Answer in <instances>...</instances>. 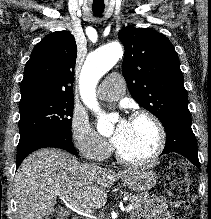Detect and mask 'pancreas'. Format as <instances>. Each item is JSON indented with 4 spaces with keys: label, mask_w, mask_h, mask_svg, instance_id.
Here are the masks:
<instances>
[{
    "label": "pancreas",
    "mask_w": 211,
    "mask_h": 219,
    "mask_svg": "<svg viewBox=\"0 0 211 219\" xmlns=\"http://www.w3.org/2000/svg\"><path fill=\"white\" fill-rule=\"evenodd\" d=\"M148 193H142L137 195L127 194V198L132 205L133 209L140 207L142 204L148 202Z\"/></svg>",
    "instance_id": "cf45deb5"
}]
</instances>
